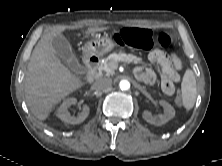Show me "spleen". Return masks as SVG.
<instances>
[{
    "mask_svg": "<svg viewBox=\"0 0 222 166\" xmlns=\"http://www.w3.org/2000/svg\"><path fill=\"white\" fill-rule=\"evenodd\" d=\"M181 91L183 106L187 110L192 109L197 97V88L195 75L190 69H187L184 73L181 83Z\"/></svg>",
    "mask_w": 222,
    "mask_h": 166,
    "instance_id": "1",
    "label": "spleen"
}]
</instances>
